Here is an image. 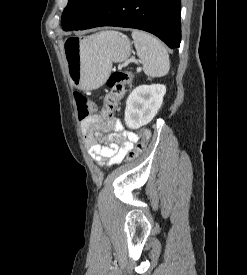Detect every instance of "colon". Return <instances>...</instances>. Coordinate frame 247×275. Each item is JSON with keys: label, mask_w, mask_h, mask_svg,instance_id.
<instances>
[{"label": "colon", "mask_w": 247, "mask_h": 275, "mask_svg": "<svg viewBox=\"0 0 247 275\" xmlns=\"http://www.w3.org/2000/svg\"><path fill=\"white\" fill-rule=\"evenodd\" d=\"M133 76L129 71L116 70L113 71L108 79L107 86L109 92L104 98V105L102 113L104 117L111 118L114 110L119 105L125 93V86L132 82ZM75 100L77 104V113L79 120H85L90 117L96 110L97 105L81 93L75 94ZM139 142L135 148L128 153L127 159H136L146 148L148 141L150 140V131L147 129H140L138 131Z\"/></svg>", "instance_id": "5ec220e1"}]
</instances>
